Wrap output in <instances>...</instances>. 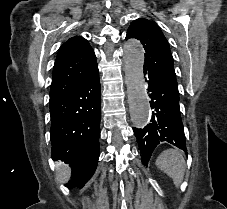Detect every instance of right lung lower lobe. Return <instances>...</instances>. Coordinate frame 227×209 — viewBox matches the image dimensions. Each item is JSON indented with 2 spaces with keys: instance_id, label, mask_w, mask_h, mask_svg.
<instances>
[{
  "instance_id": "1",
  "label": "right lung lower lobe",
  "mask_w": 227,
  "mask_h": 209,
  "mask_svg": "<svg viewBox=\"0 0 227 209\" xmlns=\"http://www.w3.org/2000/svg\"><path fill=\"white\" fill-rule=\"evenodd\" d=\"M88 71L83 80L61 97L50 100L52 159L72 168L69 188H81L93 176L100 154V81L97 63L72 66L71 74Z\"/></svg>"
}]
</instances>
